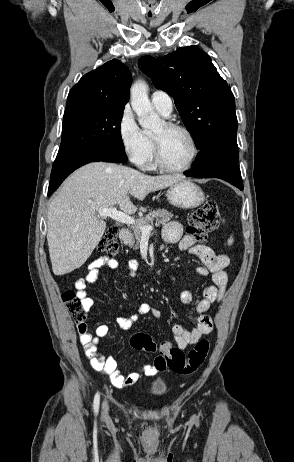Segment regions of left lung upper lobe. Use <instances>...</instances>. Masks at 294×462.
<instances>
[{
  "label": "left lung upper lobe",
  "instance_id": "1",
  "mask_svg": "<svg viewBox=\"0 0 294 462\" xmlns=\"http://www.w3.org/2000/svg\"><path fill=\"white\" fill-rule=\"evenodd\" d=\"M139 68L154 86L174 98L177 110L199 150L236 137L234 95L208 54L189 46L161 58L141 57Z\"/></svg>",
  "mask_w": 294,
  "mask_h": 462
}]
</instances>
